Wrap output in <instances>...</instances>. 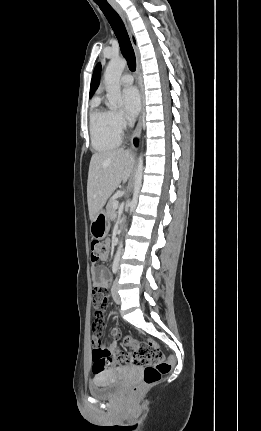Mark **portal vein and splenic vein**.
Listing matches in <instances>:
<instances>
[{
	"label": "portal vein and splenic vein",
	"instance_id": "1",
	"mask_svg": "<svg viewBox=\"0 0 261 431\" xmlns=\"http://www.w3.org/2000/svg\"><path fill=\"white\" fill-rule=\"evenodd\" d=\"M113 207H114V209H117V208H118V202H115V203L113 204Z\"/></svg>",
	"mask_w": 261,
	"mask_h": 431
}]
</instances>
